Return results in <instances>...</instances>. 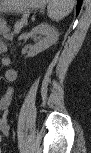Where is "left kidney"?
<instances>
[{
    "label": "left kidney",
    "mask_w": 91,
    "mask_h": 153,
    "mask_svg": "<svg viewBox=\"0 0 91 153\" xmlns=\"http://www.w3.org/2000/svg\"><path fill=\"white\" fill-rule=\"evenodd\" d=\"M32 33L36 35H40L38 38L37 43L30 48L28 51V56L33 57L40 52L48 49L50 46H52L58 39V33L56 29L47 23L40 24L36 26Z\"/></svg>",
    "instance_id": "left-kidney-1"
}]
</instances>
